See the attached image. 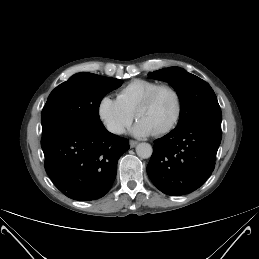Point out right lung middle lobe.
Instances as JSON below:
<instances>
[{
  "mask_svg": "<svg viewBox=\"0 0 259 259\" xmlns=\"http://www.w3.org/2000/svg\"><path fill=\"white\" fill-rule=\"evenodd\" d=\"M121 85V80L93 73L71 76L49 95L41 114L42 132L63 126H103L99 118L100 102Z\"/></svg>",
  "mask_w": 259,
  "mask_h": 259,
  "instance_id": "dd1d6c3e",
  "label": "right lung middle lobe"
}]
</instances>
